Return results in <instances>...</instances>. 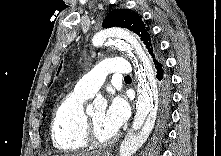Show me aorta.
I'll return each mask as SVG.
<instances>
[{
  "instance_id": "762f6f07",
  "label": "aorta",
  "mask_w": 221,
  "mask_h": 156,
  "mask_svg": "<svg viewBox=\"0 0 221 156\" xmlns=\"http://www.w3.org/2000/svg\"><path fill=\"white\" fill-rule=\"evenodd\" d=\"M106 45L116 47L131 56L135 61L136 76L138 77L136 114L131 131L125 139L121 156H130L147 140L156 118L157 84L153 68L148 56L140 48L136 38L128 31L111 29L104 34ZM94 107H105V102L95 100ZM93 106L87 108L91 112Z\"/></svg>"
}]
</instances>
